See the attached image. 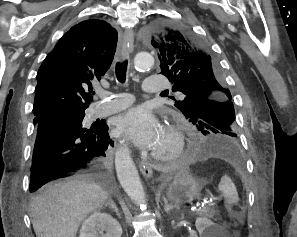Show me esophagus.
Segmentation results:
<instances>
[{"mask_svg":"<svg viewBox=\"0 0 297 237\" xmlns=\"http://www.w3.org/2000/svg\"><path fill=\"white\" fill-rule=\"evenodd\" d=\"M134 47V32L132 29H126L124 33L123 44L121 48V57L123 59L127 58L129 53L133 51ZM140 171L143 176L151 177L153 170L149 164H144L140 166Z\"/></svg>","mask_w":297,"mask_h":237,"instance_id":"obj_1","label":"esophagus"}]
</instances>
